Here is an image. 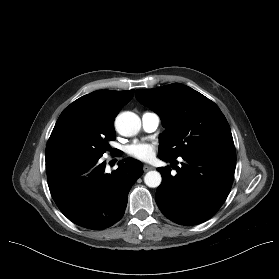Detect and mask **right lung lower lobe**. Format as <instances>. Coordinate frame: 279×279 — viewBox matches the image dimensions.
<instances>
[{"mask_svg": "<svg viewBox=\"0 0 279 279\" xmlns=\"http://www.w3.org/2000/svg\"><path fill=\"white\" fill-rule=\"evenodd\" d=\"M111 174L99 158L63 159L46 163L49 189L60 211L73 223L104 229L119 221L128 193L143 174L141 162L119 161Z\"/></svg>", "mask_w": 279, "mask_h": 279, "instance_id": "right-lung-lower-lobe-1", "label": "right lung lower lobe"}]
</instances>
